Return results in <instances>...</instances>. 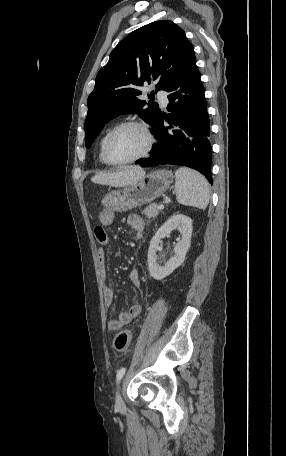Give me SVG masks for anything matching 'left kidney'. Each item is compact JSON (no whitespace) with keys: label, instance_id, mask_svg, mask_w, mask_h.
I'll use <instances>...</instances> for the list:
<instances>
[{"label":"left kidney","instance_id":"5707ae66","mask_svg":"<svg viewBox=\"0 0 286 456\" xmlns=\"http://www.w3.org/2000/svg\"><path fill=\"white\" fill-rule=\"evenodd\" d=\"M174 229L181 233V240L174 247V256L163 266L157 263V251L162 238L170 234ZM192 235V220L183 214H176L168 219L151 239L148 249V269L151 277L162 280L170 275L176 268L183 264L187 251L190 248Z\"/></svg>","mask_w":286,"mask_h":456}]
</instances>
